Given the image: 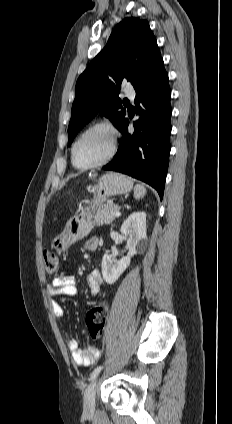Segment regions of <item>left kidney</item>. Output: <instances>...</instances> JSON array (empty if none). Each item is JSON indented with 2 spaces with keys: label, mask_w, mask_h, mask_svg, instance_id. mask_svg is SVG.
Listing matches in <instances>:
<instances>
[{
  "label": "left kidney",
  "mask_w": 232,
  "mask_h": 424,
  "mask_svg": "<svg viewBox=\"0 0 232 424\" xmlns=\"http://www.w3.org/2000/svg\"><path fill=\"white\" fill-rule=\"evenodd\" d=\"M120 231L127 237L128 254L120 260L105 254L102 258V275L108 284H114L128 268L131 257L147 246L146 213L134 212L122 224Z\"/></svg>",
  "instance_id": "obj_1"
}]
</instances>
